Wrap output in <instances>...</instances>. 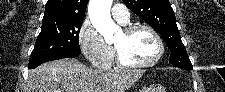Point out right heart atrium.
Wrapping results in <instances>:
<instances>
[{
  "mask_svg": "<svg viewBox=\"0 0 225 92\" xmlns=\"http://www.w3.org/2000/svg\"><path fill=\"white\" fill-rule=\"evenodd\" d=\"M78 41L86 58L96 67H107L113 60V50L107 45L98 30L84 21L79 29Z\"/></svg>",
  "mask_w": 225,
  "mask_h": 92,
  "instance_id": "right-heart-atrium-1",
  "label": "right heart atrium"
}]
</instances>
